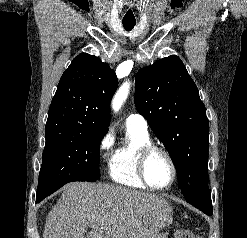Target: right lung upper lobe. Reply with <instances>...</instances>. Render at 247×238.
<instances>
[{
  "mask_svg": "<svg viewBox=\"0 0 247 238\" xmlns=\"http://www.w3.org/2000/svg\"><path fill=\"white\" fill-rule=\"evenodd\" d=\"M118 86L108 64L87 53L75 57L52 99L45 134L76 128L108 130L110 102Z\"/></svg>",
  "mask_w": 247,
  "mask_h": 238,
  "instance_id": "obj_1",
  "label": "right lung upper lobe"
}]
</instances>
